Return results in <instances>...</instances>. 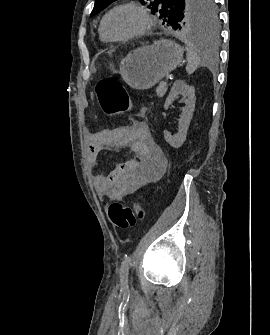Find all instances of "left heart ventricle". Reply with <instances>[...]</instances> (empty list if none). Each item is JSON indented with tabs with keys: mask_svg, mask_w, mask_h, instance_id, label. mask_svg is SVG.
I'll return each instance as SVG.
<instances>
[{
	"mask_svg": "<svg viewBox=\"0 0 270 335\" xmlns=\"http://www.w3.org/2000/svg\"><path fill=\"white\" fill-rule=\"evenodd\" d=\"M144 23V18L138 10L122 7L110 14L107 29L112 36L120 37L140 30Z\"/></svg>",
	"mask_w": 270,
	"mask_h": 335,
	"instance_id": "1",
	"label": "left heart ventricle"
}]
</instances>
